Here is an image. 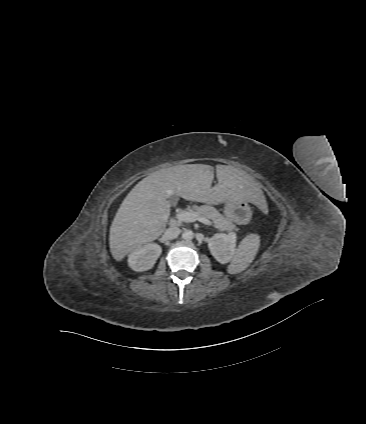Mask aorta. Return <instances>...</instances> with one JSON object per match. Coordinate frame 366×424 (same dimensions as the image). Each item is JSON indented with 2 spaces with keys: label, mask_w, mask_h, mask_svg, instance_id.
<instances>
[{
  "label": "aorta",
  "mask_w": 366,
  "mask_h": 424,
  "mask_svg": "<svg viewBox=\"0 0 366 424\" xmlns=\"http://www.w3.org/2000/svg\"><path fill=\"white\" fill-rule=\"evenodd\" d=\"M193 237H194V233L191 230H185L182 234V238L185 241H190L193 239Z\"/></svg>",
  "instance_id": "aorta-1"
}]
</instances>
